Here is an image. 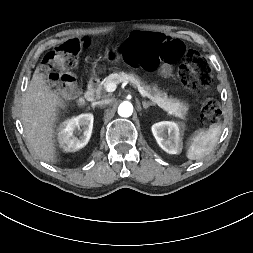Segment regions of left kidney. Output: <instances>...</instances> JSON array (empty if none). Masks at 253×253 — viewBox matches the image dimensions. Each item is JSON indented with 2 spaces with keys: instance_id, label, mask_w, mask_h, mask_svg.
Here are the masks:
<instances>
[{
  "instance_id": "left-kidney-1",
  "label": "left kidney",
  "mask_w": 253,
  "mask_h": 253,
  "mask_svg": "<svg viewBox=\"0 0 253 253\" xmlns=\"http://www.w3.org/2000/svg\"><path fill=\"white\" fill-rule=\"evenodd\" d=\"M152 133L158 145L169 154H177L180 148V129L175 122L163 121L152 126Z\"/></svg>"
}]
</instances>
